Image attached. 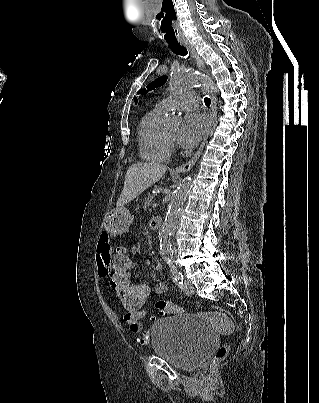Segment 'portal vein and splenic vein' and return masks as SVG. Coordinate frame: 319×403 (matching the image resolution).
<instances>
[{"label": "portal vein and splenic vein", "instance_id": "portal-vein-and-splenic-vein-1", "mask_svg": "<svg viewBox=\"0 0 319 403\" xmlns=\"http://www.w3.org/2000/svg\"><path fill=\"white\" fill-rule=\"evenodd\" d=\"M158 206V203L157 202H154L153 204H152V207L153 208H156Z\"/></svg>", "mask_w": 319, "mask_h": 403}]
</instances>
